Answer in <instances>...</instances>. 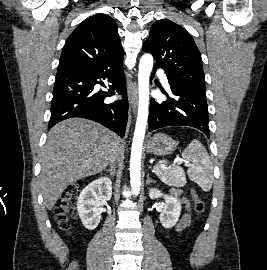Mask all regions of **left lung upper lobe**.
I'll return each instance as SVG.
<instances>
[{
    "label": "left lung upper lobe",
    "instance_id": "1",
    "mask_svg": "<svg viewBox=\"0 0 267 270\" xmlns=\"http://www.w3.org/2000/svg\"><path fill=\"white\" fill-rule=\"evenodd\" d=\"M143 50L153 55L156 68L165 70L170 86L206 97L201 54L183 27L168 19L156 21Z\"/></svg>",
    "mask_w": 267,
    "mask_h": 270
}]
</instances>
